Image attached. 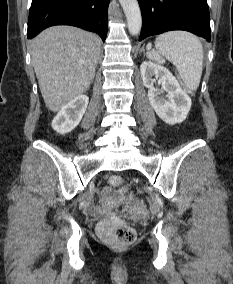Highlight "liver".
<instances>
[{"mask_svg": "<svg viewBox=\"0 0 233 284\" xmlns=\"http://www.w3.org/2000/svg\"><path fill=\"white\" fill-rule=\"evenodd\" d=\"M100 38L71 26H53L31 41V55L46 107L57 112L86 92L95 76Z\"/></svg>", "mask_w": 233, "mask_h": 284, "instance_id": "obj_1", "label": "liver"}]
</instances>
